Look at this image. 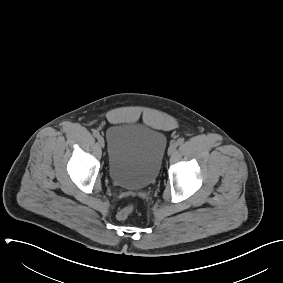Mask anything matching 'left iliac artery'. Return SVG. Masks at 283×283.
Wrapping results in <instances>:
<instances>
[{"mask_svg": "<svg viewBox=\"0 0 283 283\" xmlns=\"http://www.w3.org/2000/svg\"><path fill=\"white\" fill-rule=\"evenodd\" d=\"M184 143V138H179L178 140H177V144L178 145H181V144H183Z\"/></svg>", "mask_w": 283, "mask_h": 283, "instance_id": "left-iliac-artery-1", "label": "left iliac artery"}]
</instances>
